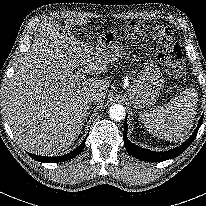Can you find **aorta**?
<instances>
[{
    "label": "aorta",
    "mask_w": 206,
    "mask_h": 206,
    "mask_svg": "<svg viewBox=\"0 0 206 206\" xmlns=\"http://www.w3.org/2000/svg\"><path fill=\"white\" fill-rule=\"evenodd\" d=\"M125 108L121 104H113L109 109V116L112 120L120 121L125 118Z\"/></svg>",
    "instance_id": "1"
}]
</instances>
